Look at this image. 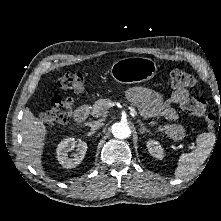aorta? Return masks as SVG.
Returning a JSON list of instances; mask_svg holds the SVG:
<instances>
[{
    "mask_svg": "<svg viewBox=\"0 0 221 221\" xmlns=\"http://www.w3.org/2000/svg\"><path fill=\"white\" fill-rule=\"evenodd\" d=\"M112 134L117 139H127L131 136L132 131L125 122H117L112 125Z\"/></svg>",
    "mask_w": 221,
    "mask_h": 221,
    "instance_id": "762f6f07",
    "label": "aorta"
}]
</instances>
